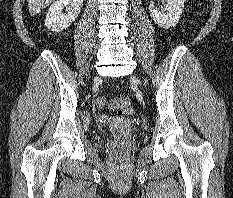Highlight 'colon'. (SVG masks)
I'll list each match as a JSON object with an SVG mask.
<instances>
[{
  "label": "colon",
  "instance_id": "1",
  "mask_svg": "<svg viewBox=\"0 0 233 198\" xmlns=\"http://www.w3.org/2000/svg\"><path fill=\"white\" fill-rule=\"evenodd\" d=\"M97 105L101 109L108 108L110 110H115L126 115H132L135 112L134 106L132 105L130 99L127 97H120L115 99L100 97L97 100Z\"/></svg>",
  "mask_w": 233,
  "mask_h": 198
}]
</instances>
